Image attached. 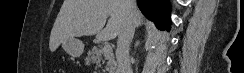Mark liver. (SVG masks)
<instances>
[{"mask_svg":"<svg viewBox=\"0 0 244 73\" xmlns=\"http://www.w3.org/2000/svg\"><path fill=\"white\" fill-rule=\"evenodd\" d=\"M142 22L136 9V26ZM123 23V0H64L51 31L49 49L54 52L63 41L74 37L96 35L101 41L112 40L120 34Z\"/></svg>","mask_w":244,"mask_h":73,"instance_id":"liver-1","label":"liver"}]
</instances>
